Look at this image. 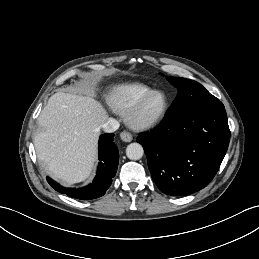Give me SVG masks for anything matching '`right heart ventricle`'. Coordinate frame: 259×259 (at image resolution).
Listing matches in <instances>:
<instances>
[{
	"instance_id": "obj_1",
	"label": "right heart ventricle",
	"mask_w": 259,
	"mask_h": 259,
	"mask_svg": "<svg viewBox=\"0 0 259 259\" xmlns=\"http://www.w3.org/2000/svg\"><path fill=\"white\" fill-rule=\"evenodd\" d=\"M152 88L143 83H126L112 87L104 97L107 106L114 112L125 114Z\"/></svg>"
}]
</instances>
